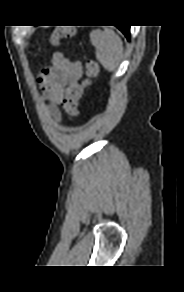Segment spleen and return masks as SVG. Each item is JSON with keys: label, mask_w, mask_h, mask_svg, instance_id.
Masks as SVG:
<instances>
[{"label": "spleen", "mask_w": 184, "mask_h": 292, "mask_svg": "<svg viewBox=\"0 0 184 292\" xmlns=\"http://www.w3.org/2000/svg\"><path fill=\"white\" fill-rule=\"evenodd\" d=\"M90 40L95 47L96 59L106 70L115 71L124 50L121 38L110 29H97L90 33Z\"/></svg>", "instance_id": "1"}]
</instances>
